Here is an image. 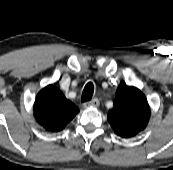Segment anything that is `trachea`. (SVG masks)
I'll use <instances>...</instances> for the list:
<instances>
[{
  "mask_svg": "<svg viewBox=\"0 0 173 170\" xmlns=\"http://www.w3.org/2000/svg\"><path fill=\"white\" fill-rule=\"evenodd\" d=\"M93 92H94L93 84H92V82H88L85 85L84 90L82 92V98H81V100L83 102L90 101L92 99Z\"/></svg>",
  "mask_w": 173,
  "mask_h": 170,
  "instance_id": "1",
  "label": "trachea"
}]
</instances>
